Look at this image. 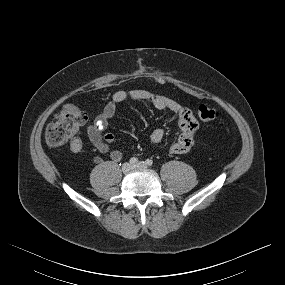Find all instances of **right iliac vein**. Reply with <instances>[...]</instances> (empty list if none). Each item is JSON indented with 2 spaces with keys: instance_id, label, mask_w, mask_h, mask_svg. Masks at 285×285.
<instances>
[{
  "instance_id": "right-iliac-vein-1",
  "label": "right iliac vein",
  "mask_w": 285,
  "mask_h": 285,
  "mask_svg": "<svg viewBox=\"0 0 285 285\" xmlns=\"http://www.w3.org/2000/svg\"><path fill=\"white\" fill-rule=\"evenodd\" d=\"M132 169V166L129 163H124L122 165V172L128 173Z\"/></svg>"
}]
</instances>
